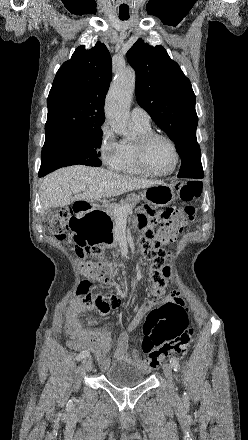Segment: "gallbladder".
<instances>
[{
    "instance_id": "obj_1",
    "label": "gallbladder",
    "mask_w": 248,
    "mask_h": 440,
    "mask_svg": "<svg viewBox=\"0 0 248 440\" xmlns=\"http://www.w3.org/2000/svg\"><path fill=\"white\" fill-rule=\"evenodd\" d=\"M52 214H53L52 208L47 209L43 215V220L48 221L51 218Z\"/></svg>"
}]
</instances>
